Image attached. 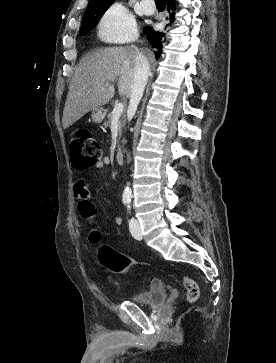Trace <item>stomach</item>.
Returning <instances> with one entry per match:
<instances>
[{
	"label": "stomach",
	"instance_id": "obj_1",
	"mask_svg": "<svg viewBox=\"0 0 276 363\" xmlns=\"http://www.w3.org/2000/svg\"><path fill=\"white\" fill-rule=\"evenodd\" d=\"M106 115V110L102 107L92 110V120L94 123H101Z\"/></svg>",
	"mask_w": 276,
	"mask_h": 363
}]
</instances>
